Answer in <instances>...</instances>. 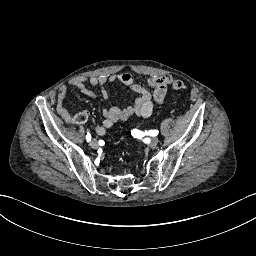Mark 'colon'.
<instances>
[{
	"label": "colon",
	"instance_id": "obj_1",
	"mask_svg": "<svg viewBox=\"0 0 256 256\" xmlns=\"http://www.w3.org/2000/svg\"><path fill=\"white\" fill-rule=\"evenodd\" d=\"M173 88L176 91L182 92V91H185L187 89V86L182 81H175V82H173ZM84 120H85L84 117H80V121H84Z\"/></svg>",
	"mask_w": 256,
	"mask_h": 256
}]
</instances>
